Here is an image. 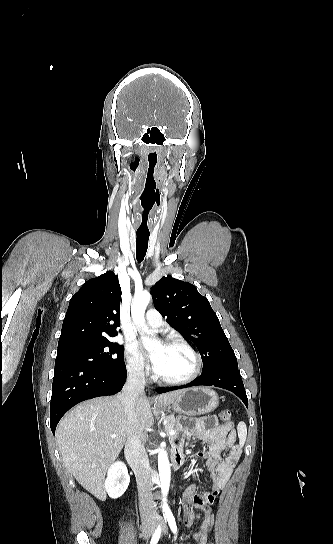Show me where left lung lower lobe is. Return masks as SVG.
I'll use <instances>...</instances> for the list:
<instances>
[{
	"instance_id": "0a47b994",
	"label": "left lung lower lobe",
	"mask_w": 333,
	"mask_h": 544,
	"mask_svg": "<svg viewBox=\"0 0 333 544\" xmlns=\"http://www.w3.org/2000/svg\"><path fill=\"white\" fill-rule=\"evenodd\" d=\"M199 385L216 386L227 389L236 394L244 402L246 407H248V399L240 371L238 370L237 365L232 364L213 367L210 370L203 372L198 378L187 385L172 388H159L156 391L157 393H165L176 389Z\"/></svg>"
}]
</instances>
